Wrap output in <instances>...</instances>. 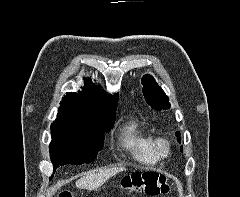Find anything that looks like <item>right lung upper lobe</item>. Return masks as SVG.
Masks as SVG:
<instances>
[{"mask_svg":"<svg viewBox=\"0 0 240 197\" xmlns=\"http://www.w3.org/2000/svg\"><path fill=\"white\" fill-rule=\"evenodd\" d=\"M118 94L101 92L97 85H90L85 78V87L78 93H67L62 98L54 123L64 125H103L115 121Z\"/></svg>","mask_w":240,"mask_h":197,"instance_id":"cb5924a9","label":"right lung upper lobe"}]
</instances>
